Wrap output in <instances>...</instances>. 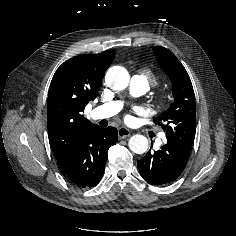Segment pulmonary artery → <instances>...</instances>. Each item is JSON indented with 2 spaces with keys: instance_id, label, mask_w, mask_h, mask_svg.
<instances>
[{
  "instance_id": "1",
  "label": "pulmonary artery",
  "mask_w": 236,
  "mask_h": 236,
  "mask_svg": "<svg viewBox=\"0 0 236 236\" xmlns=\"http://www.w3.org/2000/svg\"><path fill=\"white\" fill-rule=\"evenodd\" d=\"M130 89L136 95L145 94L149 90V84L140 76L135 75L131 78ZM122 108L120 101H111L109 103L100 105L92 111L94 119H105L117 114ZM161 139L165 138L164 134L160 135Z\"/></svg>"
}]
</instances>
